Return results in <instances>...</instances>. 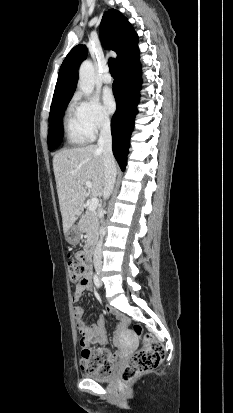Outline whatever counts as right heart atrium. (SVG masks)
Wrapping results in <instances>:
<instances>
[{
	"label": "right heart atrium",
	"instance_id": "obj_1",
	"mask_svg": "<svg viewBox=\"0 0 233 413\" xmlns=\"http://www.w3.org/2000/svg\"><path fill=\"white\" fill-rule=\"evenodd\" d=\"M77 106L83 124L92 138L110 126V117L98 98L78 96Z\"/></svg>",
	"mask_w": 233,
	"mask_h": 413
}]
</instances>
